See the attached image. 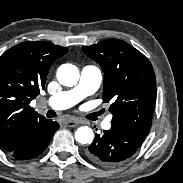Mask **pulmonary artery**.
Returning a JSON list of instances; mask_svg holds the SVG:
<instances>
[{
  "mask_svg": "<svg viewBox=\"0 0 183 183\" xmlns=\"http://www.w3.org/2000/svg\"><path fill=\"white\" fill-rule=\"evenodd\" d=\"M102 80V74L96 66H85L81 70L79 82L71 89L51 96L45 101V105L56 110H64L76 105L85 97L95 93ZM111 117L103 122V128H111Z\"/></svg>",
  "mask_w": 183,
  "mask_h": 183,
  "instance_id": "1",
  "label": "pulmonary artery"
}]
</instances>
